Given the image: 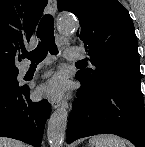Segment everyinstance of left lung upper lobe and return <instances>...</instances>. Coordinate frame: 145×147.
<instances>
[{
  "label": "left lung upper lobe",
  "mask_w": 145,
  "mask_h": 147,
  "mask_svg": "<svg viewBox=\"0 0 145 147\" xmlns=\"http://www.w3.org/2000/svg\"><path fill=\"white\" fill-rule=\"evenodd\" d=\"M57 5L59 11L79 18L77 36L94 65L79 70L76 77L95 85L115 74H140L135 28L122 4L117 0H57Z\"/></svg>",
  "instance_id": "obj_1"
}]
</instances>
